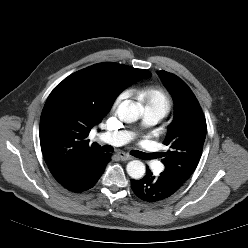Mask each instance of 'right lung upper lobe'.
Here are the masks:
<instances>
[{
  "label": "right lung upper lobe",
  "instance_id": "obj_1",
  "mask_svg": "<svg viewBox=\"0 0 248 248\" xmlns=\"http://www.w3.org/2000/svg\"><path fill=\"white\" fill-rule=\"evenodd\" d=\"M125 67L113 62L95 64L68 76L50 93L40 119V144L59 183L66 181L84 158L102 152L97 143L90 145L87 137L118 94L131 84L121 76Z\"/></svg>",
  "mask_w": 248,
  "mask_h": 248
}]
</instances>
